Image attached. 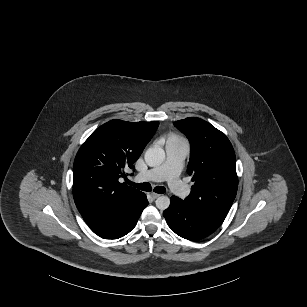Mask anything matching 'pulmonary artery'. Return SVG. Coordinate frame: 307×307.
I'll return each mask as SVG.
<instances>
[{
	"mask_svg": "<svg viewBox=\"0 0 307 307\" xmlns=\"http://www.w3.org/2000/svg\"><path fill=\"white\" fill-rule=\"evenodd\" d=\"M167 159L164 165L157 169H151L146 174L136 176V180H145L151 174H160V180H166V187L175 194H183L188 189V184L181 179V164L187 154V148L168 147L166 148Z\"/></svg>",
	"mask_w": 307,
	"mask_h": 307,
	"instance_id": "pulmonary-artery-1",
	"label": "pulmonary artery"
}]
</instances>
